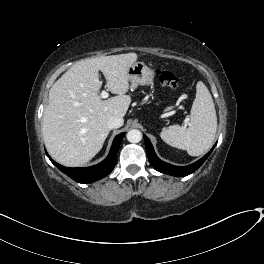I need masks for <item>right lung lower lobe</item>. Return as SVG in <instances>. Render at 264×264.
Returning a JSON list of instances; mask_svg holds the SVG:
<instances>
[{"mask_svg": "<svg viewBox=\"0 0 264 264\" xmlns=\"http://www.w3.org/2000/svg\"><path fill=\"white\" fill-rule=\"evenodd\" d=\"M124 135L125 133H121L115 137L107 158L95 166L85 168H68L56 163L47 152L46 155L57 168H59L74 181L84 184L92 183L107 176L114 169L117 162V152Z\"/></svg>", "mask_w": 264, "mask_h": 264, "instance_id": "98d812e1", "label": "right lung lower lobe"}]
</instances>
